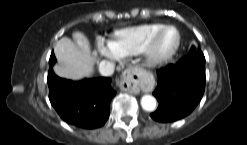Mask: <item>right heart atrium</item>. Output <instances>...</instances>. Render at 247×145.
Wrapping results in <instances>:
<instances>
[{"instance_id": "obj_1", "label": "right heart atrium", "mask_w": 247, "mask_h": 145, "mask_svg": "<svg viewBox=\"0 0 247 145\" xmlns=\"http://www.w3.org/2000/svg\"><path fill=\"white\" fill-rule=\"evenodd\" d=\"M98 51L100 54L106 58L117 60L119 58V55L116 53V51L110 46V44H99L98 45Z\"/></svg>"}]
</instances>
